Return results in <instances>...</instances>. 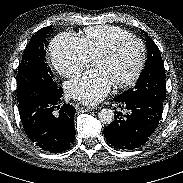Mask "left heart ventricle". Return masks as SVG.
<instances>
[{
	"mask_svg": "<svg viewBox=\"0 0 183 183\" xmlns=\"http://www.w3.org/2000/svg\"><path fill=\"white\" fill-rule=\"evenodd\" d=\"M140 57V45L130 41L122 45L111 57L94 60L93 68L103 71L111 83L115 84L132 75Z\"/></svg>",
	"mask_w": 183,
	"mask_h": 183,
	"instance_id": "obj_1",
	"label": "left heart ventricle"
}]
</instances>
